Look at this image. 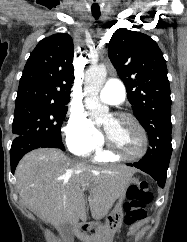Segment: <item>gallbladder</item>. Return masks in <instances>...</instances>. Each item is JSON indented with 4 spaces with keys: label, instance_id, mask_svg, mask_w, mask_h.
Returning <instances> with one entry per match:
<instances>
[{
    "label": "gallbladder",
    "instance_id": "bac80fb5",
    "mask_svg": "<svg viewBox=\"0 0 187 242\" xmlns=\"http://www.w3.org/2000/svg\"><path fill=\"white\" fill-rule=\"evenodd\" d=\"M58 230L61 234L62 242H73L72 226L69 223L60 224Z\"/></svg>",
    "mask_w": 187,
    "mask_h": 242
}]
</instances>
